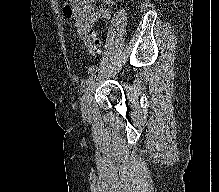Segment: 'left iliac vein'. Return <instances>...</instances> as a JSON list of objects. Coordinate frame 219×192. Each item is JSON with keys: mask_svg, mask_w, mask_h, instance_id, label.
<instances>
[{"mask_svg": "<svg viewBox=\"0 0 219 192\" xmlns=\"http://www.w3.org/2000/svg\"><path fill=\"white\" fill-rule=\"evenodd\" d=\"M91 102H92V91L89 90L86 92V94L83 96L81 100V111H82V116L84 118H87L90 116Z\"/></svg>", "mask_w": 219, "mask_h": 192, "instance_id": "obj_1", "label": "left iliac vein"}]
</instances>
